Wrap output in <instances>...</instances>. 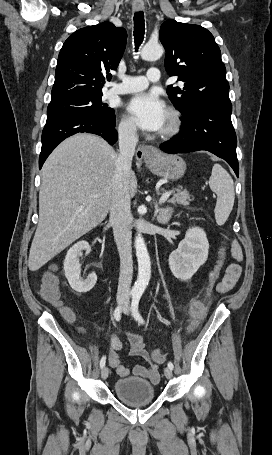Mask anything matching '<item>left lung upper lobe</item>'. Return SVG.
Segmentation results:
<instances>
[{"instance_id": "5c2ea615", "label": "left lung upper lobe", "mask_w": 272, "mask_h": 455, "mask_svg": "<svg viewBox=\"0 0 272 455\" xmlns=\"http://www.w3.org/2000/svg\"><path fill=\"white\" fill-rule=\"evenodd\" d=\"M159 37L166 49V71L178 76L184 85L167 88L183 118L206 104H231L221 51L207 29L167 20L161 25Z\"/></svg>"}]
</instances>
